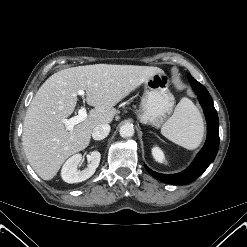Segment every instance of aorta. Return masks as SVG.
Instances as JSON below:
<instances>
[{
    "instance_id": "aorta-1",
    "label": "aorta",
    "mask_w": 247,
    "mask_h": 247,
    "mask_svg": "<svg viewBox=\"0 0 247 247\" xmlns=\"http://www.w3.org/2000/svg\"><path fill=\"white\" fill-rule=\"evenodd\" d=\"M120 136L123 138L132 137L134 135V127L131 124H125L120 127Z\"/></svg>"
}]
</instances>
